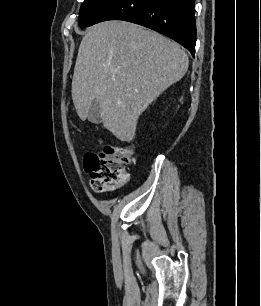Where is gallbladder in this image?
<instances>
[{"label": "gallbladder", "instance_id": "bac80fb5", "mask_svg": "<svg viewBox=\"0 0 261 306\" xmlns=\"http://www.w3.org/2000/svg\"><path fill=\"white\" fill-rule=\"evenodd\" d=\"M88 120L92 123L98 124L101 122V108L97 101H94L89 109Z\"/></svg>", "mask_w": 261, "mask_h": 306}]
</instances>
